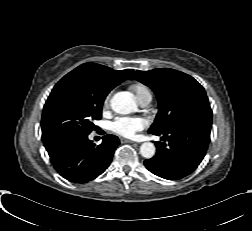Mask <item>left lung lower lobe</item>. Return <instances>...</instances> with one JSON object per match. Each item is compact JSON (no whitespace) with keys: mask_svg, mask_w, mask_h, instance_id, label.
<instances>
[{"mask_svg":"<svg viewBox=\"0 0 252 231\" xmlns=\"http://www.w3.org/2000/svg\"><path fill=\"white\" fill-rule=\"evenodd\" d=\"M211 123L188 121L178 124L163 134L156 142L157 153L145 160L146 168L153 174L169 180L181 179L192 173L205 156L210 141Z\"/></svg>","mask_w":252,"mask_h":231,"instance_id":"0a47b994","label":"left lung lower lobe"}]
</instances>
